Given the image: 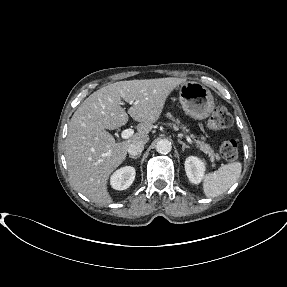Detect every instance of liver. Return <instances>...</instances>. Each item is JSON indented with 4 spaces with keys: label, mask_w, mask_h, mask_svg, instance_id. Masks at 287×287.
I'll return each mask as SVG.
<instances>
[{
    "label": "liver",
    "mask_w": 287,
    "mask_h": 287,
    "mask_svg": "<svg viewBox=\"0 0 287 287\" xmlns=\"http://www.w3.org/2000/svg\"><path fill=\"white\" fill-rule=\"evenodd\" d=\"M185 82L186 79L172 77L119 81L86 98L70 120L65 143L68 174L74 189L98 205L112 203L107 190L109 176L125 160L132 142L149 141L148 134L166 99ZM121 99L131 105L128 114L139 124L131 138L118 143L107 130L128 122Z\"/></svg>",
    "instance_id": "6515ba94"
}]
</instances>
